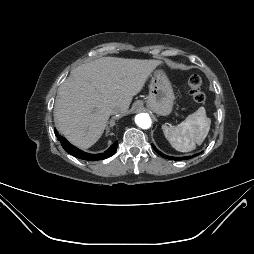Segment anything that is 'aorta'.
Here are the masks:
<instances>
[{
    "mask_svg": "<svg viewBox=\"0 0 254 254\" xmlns=\"http://www.w3.org/2000/svg\"><path fill=\"white\" fill-rule=\"evenodd\" d=\"M136 124L142 129H148L151 126V118L146 113H140L135 117Z\"/></svg>",
    "mask_w": 254,
    "mask_h": 254,
    "instance_id": "1",
    "label": "aorta"
}]
</instances>
